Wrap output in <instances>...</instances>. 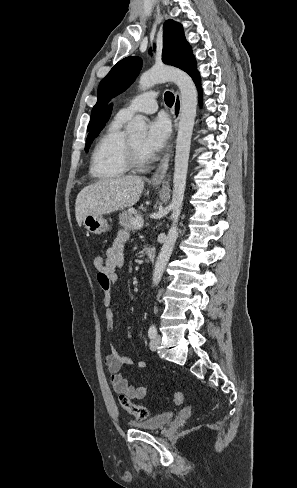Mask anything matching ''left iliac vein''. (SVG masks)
I'll list each match as a JSON object with an SVG mask.
<instances>
[{
  "label": "left iliac vein",
  "instance_id": "obj_1",
  "mask_svg": "<svg viewBox=\"0 0 297 488\" xmlns=\"http://www.w3.org/2000/svg\"><path fill=\"white\" fill-rule=\"evenodd\" d=\"M161 342V336L156 335L152 340L150 341V349L152 351H156L158 349V346L160 345Z\"/></svg>",
  "mask_w": 297,
  "mask_h": 488
}]
</instances>
